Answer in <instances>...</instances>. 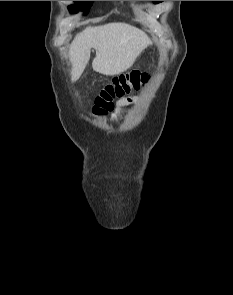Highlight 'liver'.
<instances>
[{
	"label": "liver",
	"instance_id": "6515ba94",
	"mask_svg": "<svg viewBox=\"0 0 233 295\" xmlns=\"http://www.w3.org/2000/svg\"><path fill=\"white\" fill-rule=\"evenodd\" d=\"M150 44L151 40L143 31L126 23L87 27L76 35L70 46L71 81L75 82L82 75L92 48L96 50L92 61L93 70L114 76L129 69Z\"/></svg>",
	"mask_w": 233,
	"mask_h": 295
}]
</instances>
